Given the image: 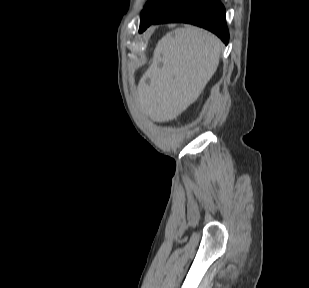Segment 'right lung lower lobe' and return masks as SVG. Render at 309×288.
Instances as JSON below:
<instances>
[{
  "mask_svg": "<svg viewBox=\"0 0 309 288\" xmlns=\"http://www.w3.org/2000/svg\"><path fill=\"white\" fill-rule=\"evenodd\" d=\"M166 22L194 24L215 33L225 44L229 41L225 9L219 0H182L157 17L152 24ZM146 28L139 32L142 33Z\"/></svg>",
  "mask_w": 309,
  "mask_h": 288,
  "instance_id": "1",
  "label": "right lung lower lobe"
}]
</instances>
